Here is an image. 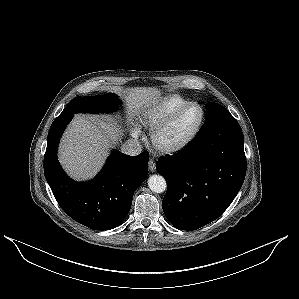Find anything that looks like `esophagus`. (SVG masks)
Returning <instances> with one entry per match:
<instances>
[{"label":"esophagus","mask_w":299,"mask_h":299,"mask_svg":"<svg viewBox=\"0 0 299 299\" xmlns=\"http://www.w3.org/2000/svg\"><path fill=\"white\" fill-rule=\"evenodd\" d=\"M148 166H149L150 172H154L155 171L156 166H155L154 160L150 159L149 162H148Z\"/></svg>","instance_id":"obj_1"}]
</instances>
